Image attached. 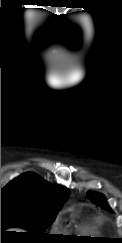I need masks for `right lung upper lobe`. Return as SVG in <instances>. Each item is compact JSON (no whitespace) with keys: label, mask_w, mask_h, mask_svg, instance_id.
<instances>
[{"label":"right lung upper lobe","mask_w":122,"mask_h":243,"mask_svg":"<svg viewBox=\"0 0 122 243\" xmlns=\"http://www.w3.org/2000/svg\"><path fill=\"white\" fill-rule=\"evenodd\" d=\"M69 194L67 188L52 185L34 173L23 174L1 189V199H18L42 207H61Z\"/></svg>","instance_id":"right-lung-upper-lobe-1"}]
</instances>
